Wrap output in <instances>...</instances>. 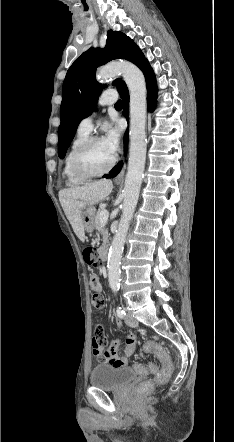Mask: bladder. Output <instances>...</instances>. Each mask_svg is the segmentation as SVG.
Instances as JSON below:
<instances>
[{
    "label": "bladder",
    "instance_id": "31cf9c89",
    "mask_svg": "<svg viewBox=\"0 0 234 442\" xmlns=\"http://www.w3.org/2000/svg\"><path fill=\"white\" fill-rule=\"evenodd\" d=\"M136 376L137 372L132 367L99 364L90 374V384L104 390H118L132 382Z\"/></svg>",
    "mask_w": 234,
    "mask_h": 442
}]
</instances>
